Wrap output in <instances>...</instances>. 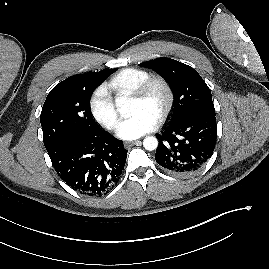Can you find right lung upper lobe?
Returning <instances> with one entry per match:
<instances>
[{
	"label": "right lung upper lobe",
	"instance_id": "right-lung-upper-lobe-1",
	"mask_svg": "<svg viewBox=\"0 0 269 269\" xmlns=\"http://www.w3.org/2000/svg\"><path fill=\"white\" fill-rule=\"evenodd\" d=\"M83 75H85V74H82V75H74V76H71L69 78L79 77V76H83Z\"/></svg>",
	"mask_w": 269,
	"mask_h": 269
}]
</instances>
